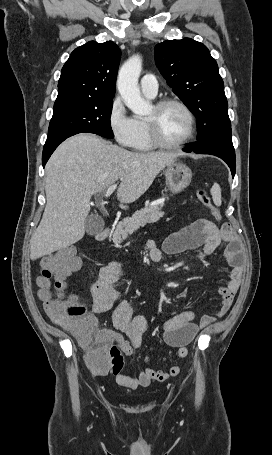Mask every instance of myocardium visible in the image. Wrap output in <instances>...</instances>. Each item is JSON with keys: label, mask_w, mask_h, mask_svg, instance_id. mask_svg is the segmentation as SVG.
<instances>
[{"label": "myocardium", "mask_w": 272, "mask_h": 455, "mask_svg": "<svg viewBox=\"0 0 272 455\" xmlns=\"http://www.w3.org/2000/svg\"><path fill=\"white\" fill-rule=\"evenodd\" d=\"M170 105H175L183 110V112L186 114L187 119H188V132L186 136L179 142L177 143H166L165 141L162 140L160 137L158 127H157V122L155 118H146L145 122L148 128V133L151 142L155 147L161 148V149H166V150H176L184 147L186 144H188L194 137L195 132H196V120L195 116L192 112V110L181 100L176 99V98H162L159 101H157L154 105V109L156 111H160L163 108L170 106Z\"/></svg>", "instance_id": "f54148a6"}]
</instances>
